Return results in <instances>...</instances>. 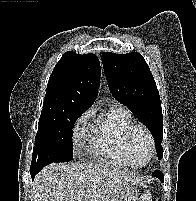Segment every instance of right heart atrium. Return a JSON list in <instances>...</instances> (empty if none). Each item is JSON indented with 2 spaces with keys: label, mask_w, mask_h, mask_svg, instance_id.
<instances>
[{
  "label": "right heart atrium",
  "mask_w": 196,
  "mask_h": 201,
  "mask_svg": "<svg viewBox=\"0 0 196 201\" xmlns=\"http://www.w3.org/2000/svg\"><path fill=\"white\" fill-rule=\"evenodd\" d=\"M92 116L93 112L91 110H87L77 119L75 123L73 140L77 147H80L84 142L87 133V124Z\"/></svg>",
  "instance_id": "right-heart-atrium-1"
}]
</instances>
